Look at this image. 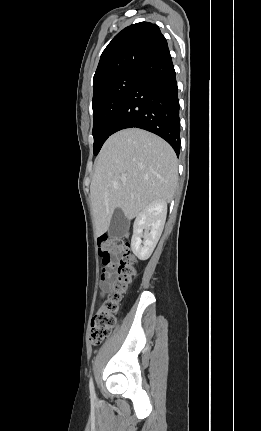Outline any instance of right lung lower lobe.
Here are the masks:
<instances>
[{
	"instance_id": "obj_1",
	"label": "right lung lower lobe",
	"mask_w": 261,
	"mask_h": 431,
	"mask_svg": "<svg viewBox=\"0 0 261 431\" xmlns=\"http://www.w3.org/2000/svg\"><path fill=\"white\" fill-rule=\"evenodd\" d=\"M132 127L162 137L179 156L178 88L169 50L140 70L114 121L111 133Z\"/></svg>"
}]
</instances>
